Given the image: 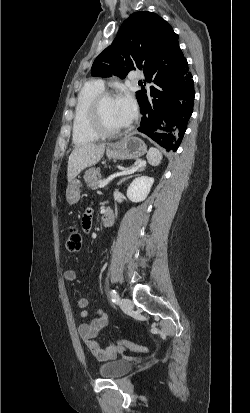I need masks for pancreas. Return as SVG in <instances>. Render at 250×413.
I'll list each match as a JSON object with an SVG mask.
<instances>
[{
	"label": "pancreas",
	"mask_w": 250,
	"mask_h": 413,
	"mask_svg": "<svg viewBox=\"0 0 250 413\" xmlns=\"http://www.w3.org/2000/svg\"><path fill=\"white\" fill-rule=\"evenodd\" d=\"M84 180L88 187L96 189L101 181V174L98 168H91L84 174Z\"/></svg>",
	"instance_id": "cf45deb5"
}]
</instances>
